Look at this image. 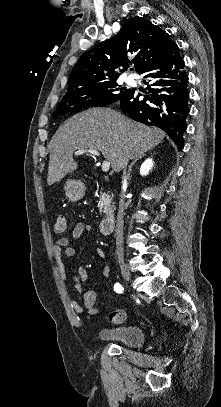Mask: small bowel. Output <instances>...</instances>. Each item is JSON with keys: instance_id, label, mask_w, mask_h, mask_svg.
<instances>
[{"instance_id": "small-bowel-1", "label": "small bowel", "mask_w": 221, "mask_h": 407, "mask_svg": "<svg viewBox=\"0 0 221 407\" xmlns=\"http://www.w3.org/2000/svg\"><path fill=\"white\" fill-rule=\"evenodd\" d=\"M84 233L92 234L93 227L89 224L78 222L74 225L71 233V238H59L54 244V255L57 260V269L60 280L66 284L69 282V274L65 259H69L74 255V249L71 247L73 241L80 238ZM101 275L107 278L110 275L109 267L105 266L101 270ZM72 281L76 291L78 292V300H71V306L76 314H82L84 311L83 305L79 302L82 295V286L88 281V273L85 268L79 267L72 276ZM86 293L84 294V300ZM85 304V303H84ZM93 314V313H90Z\"/></svg>"}]
</instances>
